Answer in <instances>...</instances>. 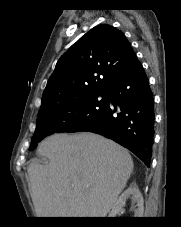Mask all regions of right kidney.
<instances>
[{
  "instance_id": "right-kidney-1",
  "label": "right kidney",
  "mask_w": 181,
  "mask_h": 227,
  "mask_svg": "<svg viewBox=\"0 0 181 227\" xmlns=\"http://www.w3.org/2000/svg\"><path fill=\"white\" fill-rule=\"evenodd\" d=\"M131 199L135 204L134 217H143L144 213V201L143 196L135 184H131L118 198L112 207L109 217H116L126 204L127 199Z\"/></svg>"
}]
</instances>
